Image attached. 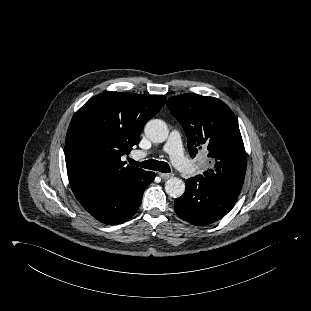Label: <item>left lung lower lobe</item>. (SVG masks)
Segmentation results:
<instances>
[{"mask_svg":"<svg viewBox=\"0 0 311 311\" xmlns=\"http://www.w3.org/2000/svg\"><path fill=\"white\" fill-rule=\"evenodd\" d=\"M237 197L197 175L186 180V190L175 200L174 207L181 219L196 226H204L226 215L233 208Z\"/></svg>","mask_w":311,"mask_h":311,"instance_id":"0a47b994","label":"left lung lower lobe"}]
</instances>
